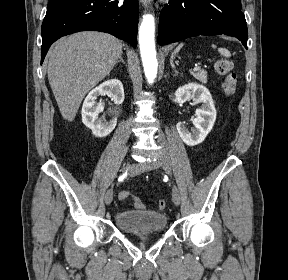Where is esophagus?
I'll return each instance as SVG.
<instances>
[{
    "instance_id": "34e87169",
    "label": "esophagus",
    "mask_w": 288,
    "mask_h": 280,
    "mask_svg": "<svg viewBox=\"0 0 288 280\" xmlns=\"http://www.w3.org/2000/svg\"><path fill=\"white\" fill-rule=\"evenodd\" d=\"M140 3L143 6L148 7L151 4V0H140Z\"/></svg>"
}]
</instances>
